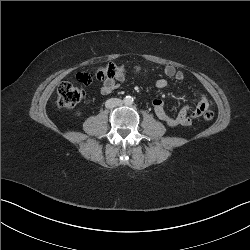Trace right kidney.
Wrapping results in <instances>:
<instances>
[{
  "label": "right kidney",
  "instance_id": "ca27d5eb",
  "mask_svg": "<svg viewBox=\"0 0 250 250\" xmlns=\"http://www.w3.org/2000/svg\"><path fill=\"white\" fill-rule=\"evenodd\" d=\"M81 113L80 112H77V115L79 116Z\"/></svg>",
  "mask_w": 250,
  "mask_h": 250
}]
</instances>
